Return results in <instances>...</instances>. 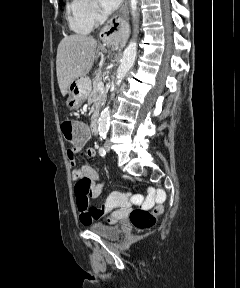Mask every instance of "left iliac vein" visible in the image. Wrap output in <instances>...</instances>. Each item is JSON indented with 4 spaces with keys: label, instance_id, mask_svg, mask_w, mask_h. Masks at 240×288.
I'll return each mask as SVG.
<instances>
[{
    "label": "left iliac vein",
    "instance_id": "4c4485c4",
    "mask_svg": "<svg viewBox=\"0 0 240 288\" xmlns=\"http://www.w3.org/2000/svg\"><path fill=\"white\" fill-rule=\"evenodd\" d=\"M106 150H107L108 152L110 151L109 145L106 146Z\"/></svg>",
    "mask_w": 240,
    "mask_h": 288
}]
</instances>
